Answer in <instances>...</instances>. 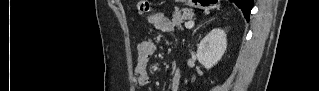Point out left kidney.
I'll return each mask as SVG.
<instances>
[{
    "label": "left kidney",
    "mask_w": 319,
    "mask_h": 91,
    "mask_svg": "<svg viewBox=\"0 0 319 91\" xmlns=\"http://www.w3.org/2000/svg\"><path fill=\"white\" fill-rule=\"evenodd\" d=\"M226 48V33L220 28H215L201 40L197 49V59L206 69H211L220 61Z\"/></svg>",
    "instance_id": "1"
}]
</instances>
